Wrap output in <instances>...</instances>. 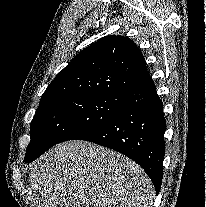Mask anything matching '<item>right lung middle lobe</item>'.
Masks as SVG:
<instances>
[{"mask_svg": "<svg viewBox=\"0 0 206 207\" xmlns=\"http://www.w3.org/2000/svg\"><path fill=\"white\" fill-rule=\"evenodd\" d=\"M125 103L124 94L72 96L40 103L31 123V141L25 159L100 126Z\"/></svg>", "mask_w": 206, "mask_h": 207, "instance_id": "obj_1", "label": "right lung middle lobe"}]
</instances>
